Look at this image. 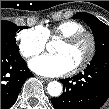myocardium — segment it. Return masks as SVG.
I'll use <instances>...</instances> for the list:
<instances>
[{"instance_id": "1", "label": "myocardium", "mask_w": 109, "mask_h": 109, "mask_svg": "<svg viewBox=\"0 0 109 109\" xmlns=\"http://www.w3.org/2000/svg\"><path fill=\"white\" fill-rule=\"evenodd\" d=\"M83 37H86L89 40V52L86 58L77 66L73 67L74 71H79L82 69H85L90 65L92 62L95 52H96V39L95 36L92 32L88 30H82L79 32H76L68 37L62 38L61 42L67 44V45H72L82 39Z\"/></svg>"}]
</instances>
